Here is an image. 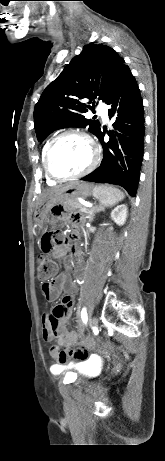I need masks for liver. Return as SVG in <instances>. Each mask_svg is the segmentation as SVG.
<instances>
[{
    "instance_id": "liver-1",
    "label": "liver",
    "mask_w": 165,
    "mask_h": 461,
    "mask_svg": "<svg viewBox=\"0 0 165 461\" xmlns=\"http://www.w3.org/2000/svg\"><path fill=\"white\" fill-rule=\"evenodd\" d=\"M59 189H60V188H54V189L48 191V192L44 195V197H45L46 195L50 194V193H53V192L58 191Z\"/></svg>"
}]
</instances>
